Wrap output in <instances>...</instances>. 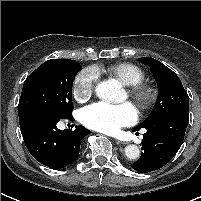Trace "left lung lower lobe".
<instances>
[{
    "label": "left lung lower lobe",
    "instance_id": "obj_1",
    "mask_svg": "<svg viewBox=\"0 0 201 201\" xmlns=\"http://www.w3.org/2000/svg\"><path fill=\"white\" fill-rule=\"evenodd\" d=\"M188 119L189 113L172 112L146 124L143 128L147 132L141 142L143 153L131 166L138 172L146 173L166 165L183 143Z\"/></svg>",
    "mask_w": 201,
    "mask_h": 201
}]
</instances>
